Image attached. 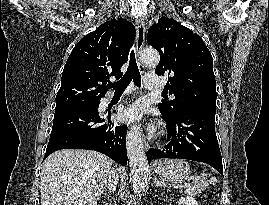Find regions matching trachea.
Instances as JSON below:
<instances>
[{
	"label": "trachea",
	"mask_w": 269,
	"mask_h": 205,
	"mask_svg": "<svg viewBox=\"0 0 269 205\" xmlns=\"http://www.w3.org/2000/svg\"><path fill=\"white\" fill-rule=\"evenodd\" d=\"M132 80L137 87H141V75L136 64L135 54L133 50L130 53L129 66L126 73L123 75V77H121L119 81L110 83L108 87L113 88L116 93L123 92ZM162 95H165V93H162Z\"/></svg>",
	"instance_id": "3493384b"
}]
</instances>
